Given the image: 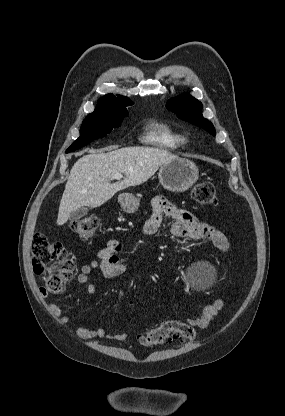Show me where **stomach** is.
<instances>
[{"label": "stomach", "mask_w": 285, "mask_h": 416, "mask_svg": "<svg viewBox=\"0 0 285 416\" xmlns=\"http://www.w3.org/2000/svg\"><path fill=\"white\" fill-rule=\"evenodd\" d=\"M158 178L165 190L185 192L197 182L199 170L191 160L177 158V160H170L161 166ZM119 202L122 210L127 214H134L139 208V198H134L131 194H121Z\"/></svg>", "instance_id": "obj_1"}]
</instances>
